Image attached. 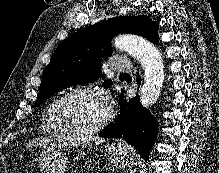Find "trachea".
Here are the masks:
<instances>
[{"instance_id":"1","label":"trachea","mask_w":219,"mask_h":173,"mask_svg":"<svg viewBox=\"0 0 219 173\" xmlns=\"http://www.w3.org/2000/svg\"><path fill=\"white\" fill-rule=\"evenodd\" d=\"M122 75H127V73H121Z\"/></svg>"}]
</instances>
